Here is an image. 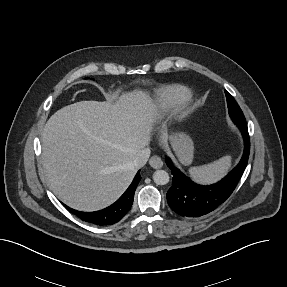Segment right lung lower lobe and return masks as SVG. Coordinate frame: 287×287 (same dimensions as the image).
Instances as JSON below:
<instances>
[{
  "label": "right lung lower lobe",
  "mask_w": 287,
  "mask_h": 287,
  "mask_svg": "<svg viewBox=\"0 0 287 287\" xmlns=\"http://www.w3.org/2000/svg\"><path fill=\"white\" fill-rule=\"evenodd\" d=\"M141 179L140 171L134 177L131 185L125 193L111 206L96 212H81L71 209L64 205L70 212L75 214L81 220L99 226L112 225L120 221L125 214L131 209L134 193Z\"/></svg>",
  "instance_id": "1"
}]
</instances>
